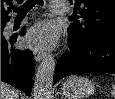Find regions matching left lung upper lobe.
Returning <instances> with one entry per match:
<instances>
[{
	"label": "left lung upper lobe",
	"instance_id": "obj_1",
	"mask_svg": "<svg viewBox=\"0 0 115 99\" xmlns=\"http://www.w3.org/2000/svg\"><path fill=\"white\" fill-rule=\"evenodd\" d=\"M74 15L79 13L82 23H72L69 37L82 45L98 39L115 40V0H70Z\"/></svg>",
	"mask_w": 115,
	"mask_h": 99
}]
</instances>
